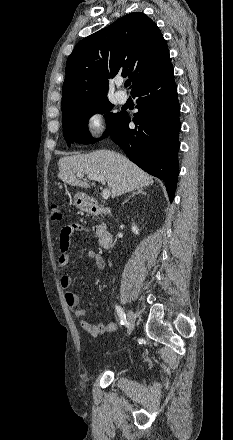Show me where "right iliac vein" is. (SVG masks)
Masks as SVG:
<instances>
[{"instance_id":"obj_1","label":"right iliac vein","mask_w":233,"mask_h":440,"mask_svg":"<svg viewBox=\"0 0 233 440\" xmlns=\"http://www.w3.org/2000/svg\"><path fill=\"white\" fill-rule=\"evenodd\" d=\"M135 320H136L135 314L131 310H128L127 311V333L128 334H131V332L135 326Z\"/></svg>"}]
</instances>
